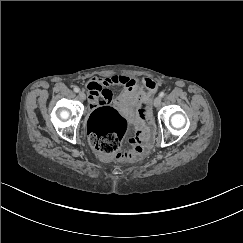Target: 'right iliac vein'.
Wrapping results in <instances>:
<instances>
[{
    "mask_svg": "<svg viewBox=\"0 0 243 243\" xmlns=\"http://www.w3.org/2000/svg\"><path fill=\"white\" fill-rule=\"evenodd\" d=\"M79 97H80L81 100H85L86 95H85V93L83 91H80L79 92Z\"/></svg>",
    "mask_w": 243,
    "mask_h": 243,
    "instance_id": "right-iliac-vein-1",
    "label": "right iliac vein"
}]
</instances>
